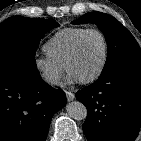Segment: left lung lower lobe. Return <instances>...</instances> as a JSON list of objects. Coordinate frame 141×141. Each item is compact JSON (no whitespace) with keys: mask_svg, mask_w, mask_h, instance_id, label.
<instances>
[{"mask_svg":"<svg viewBox=\"0 0 141 141\" xmlns=\"http://www.w3.org/2000/svg\"><path fill=\"white\" fill-rule=\"evenodd\" d=\"M88 141H133L141 125V67H125L79 90Z\"/></svg>","mask_w":141,"mask_h":141,"instance_id":"1","label":"left lung lower lobe"}]
</instances>
